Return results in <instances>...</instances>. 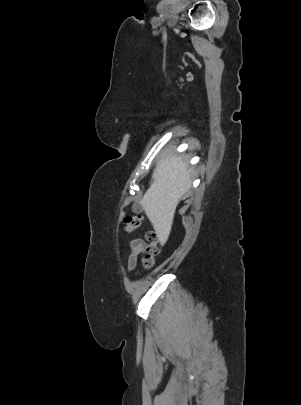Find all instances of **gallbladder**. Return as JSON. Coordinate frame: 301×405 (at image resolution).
I'll list each match as a JSON object with an SVG mask.
<instances>
[{
  "mask_svg": "<svg viewBox=\"0 0 301 405\" xmlns=\"http://www.w3.org/2000/svg\"><path fill=\"white\" fill-rule=\"evenodd\" d=\"M132 211L134 213H141L143 211V207L140 202L137 201L132 205Z\"/></svg>",
  "mask_w": 301,
  "mask_h": 405,
  "instance_id": "bac80fb5",
  "label": "gallbladder"
}]
</instances>
